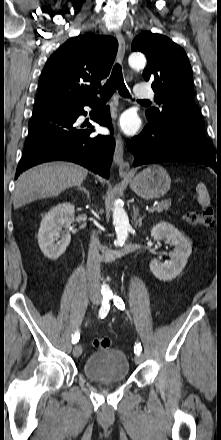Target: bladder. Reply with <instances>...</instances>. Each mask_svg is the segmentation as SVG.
<instances>
[{
  "label": "bladder",
  "mask_w": 221,
  "mask_h": 440,
  "mask_svg": "<svg viewBox=\"0 0 221 440\" xmlns=\"http://www.w3.org/2000/svg\"><path fill=\"white\" fill-rule=\"evenodd\" d=\"M129 361L119 349H105L90 355L83 366L86 378L95 382H123L129 376Z\"/></svg>",
  "instance_id": "31cf9c89"
}]
</instances>
